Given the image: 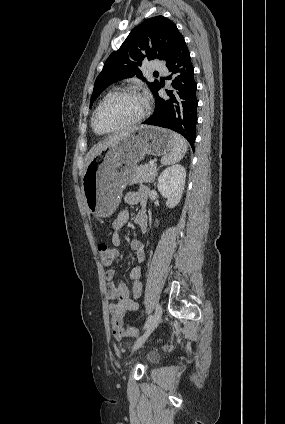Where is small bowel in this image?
Returning a JSON list of instances; mask_svg holds the SVG:
<instances>
[{
    "label": "small bowel",
    "instance_id": "small-bowel-1",
    "mask_svg": "<svg viewBox=\"0 0 285 424\" xmlns=\"http://www.w3.org/2000/svg\"><path fill=\"white\" fill-rule=\"evenodd\" d=\"M148 188L146 186H141L137 191L130 192L125 196V203L128 205H144L147 199ZM130 212L128 210H122L119 212L118 216L112 222V243L115 246L121 244V235L120 231L123 227L129 222ZM135 224L141 229L142 232H145L148 227V217L146 212L141 209L135 216ZM131 250L135 254L137 264L131 269L130 277L132 279V289L130 290L128 286L120 282L115 284L114 280L116 278L117 272L115 269H108L106 272V289L105 293L111 303L109 304V311L112 316L111 322V333L114 338L121 339L125 336H130L128 332L130 328L128 325H125L123 317L131 311H134L138 308L137 299L139 298L142 291L141 275L142 268L141 263L145 259V249L142 241L134 239L130 243ZM119 322L117 327L115 321Z\"/></svg>",
    "mask_w": 285,
    "mask_h": 424
}]
</instances>
